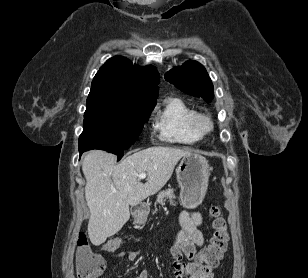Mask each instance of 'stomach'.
I'll return each instance as SVG.
<instances>
[{
    "instance_id": "1",
    "label": "stomach",
    "mask_w": 308,
    "mask_h": 278,
    "mask_svg": "<svg viewBox=\"0 0 308 278\" xmlns=\"http://www.w3.org/2000/svg\"><path fill=\"white\" fill-rule=\"evenodd\" d=\"M210 176L208 161L201 155L183 156L176 168V177L180 186V203L183 207L194 209L203 201ZM136 220L143 223L147 220V212L136 215Z\"/></svg>"
}]
</instances>
